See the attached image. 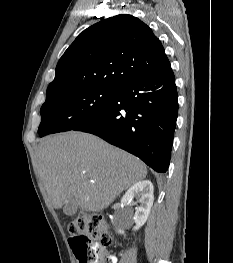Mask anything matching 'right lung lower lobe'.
Listing matches in <instances>:
<instances>
[{"mask_svg": "<svg viewBox=\"0 0 233 263\" xmlns=\"http://www.w3.org/2000/svg\"><path fill=\"white\" fill-rule=\"evenodd\" d=\"M171 67L117 88L110 105L73 130L92 133L143 160L157 172L169 166L178 112Z\"/></svg>", "mask_w": 233, "mask_h": 263, "instance_id": "right-lung-lower-lobe-1", "label": "right lung lower lobe"}]
</instances>
